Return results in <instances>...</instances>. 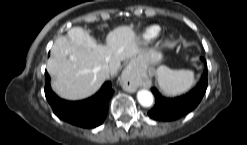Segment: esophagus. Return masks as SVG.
I'll list each match as a JSON object with an SVG mask.
<instances>
[{
	"mask_svg": "<svg viewBox=\"0 0 247 145\" xmlns=\"http://www.w3.org/2000/svg\"><path fill=\"white\" fill-rule=\"evenodd\" d=\"M137 81L138 79L136 73L131 69H127L123 72L121 76L120 84L125 91L133 93L138 87Z\"/></svg>",
	"mask_w": 247,
	"mask_h": 145,
	"instance_id": "34e87169",
	"label": "esophagus"
}]
</instances>
